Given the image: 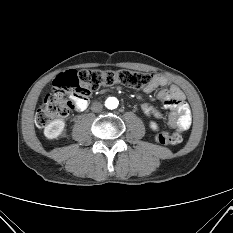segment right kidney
<instances>
[{
    "label": "right kidney",
    "instance_id": "obj_1",
    "mask_svg": "<svg viewBox=\"0 0 233 233\" xmlns=\"http://www.w3.org/2000/svg\"><path fill=\"white\" fill-rule=\"evenodd\" d=\"M65 128V122L62 119H57L49 123L44 129V135L47 139H56L61 135Z\"/></svg>",
    "mask_w": 233,
    "mask_h": 233
}]
</instances>
